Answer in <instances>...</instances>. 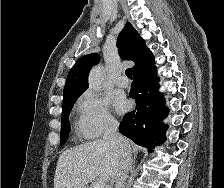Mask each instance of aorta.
Returning a JSON list of instances; mask_svg holds the SVG:
<instances>
[{
    "label": "aorta",
    "mask_w": 224,
    "mask_h": 188,
    "mask_svg": "<svg viewBox=\"0 0 224 188\" xmlns=\"http://www.w3.org/2000/svg\"><path fill=\"white\" fill-rule=\"evenodd\" d=\"M103 68L101 66L94 67L89 75V86L91 89L100 91L103 82Z\"/></svg>",
    "instance_id": "1"
}]
</instances>
